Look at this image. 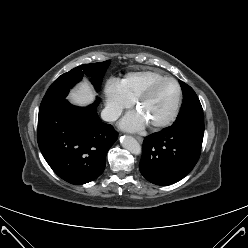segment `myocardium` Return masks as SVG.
<instances>
[{"label":"myocardium","mask_w":248,"mask_h":248,"mask_svg":"<svg viewBox=\"0 0 248 248\" xmlns=\"http://www.w3.org/2000/svg\"><path fill=\"white\" fill-rule=\"evenodd\" d=\"M164 82H172V83L175 84V86L177 87V92H178L177 100H176V103H175V106H174L173 110L171 111V113L168 116H166L164 119H162L160 121L150 123V125L152 127H154V128H160V127L167 126V125H169L170 123H172L176 119V117H177V115H178V113L180 111V107H181L182 100H183L182 88H181L179 82L176 79L172 78V77H163V78H161L159 80H156V81L152 82L135 99V105L140 106L151 95L153 90L158 85H160L161 83H164Z\"/></svg>","instance_id":"obj_1"}]
</instances>
